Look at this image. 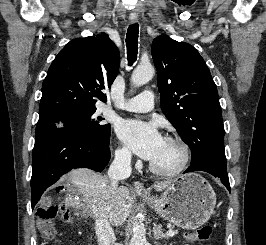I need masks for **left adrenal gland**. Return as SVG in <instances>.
<instances>
[{
  "label": "left adrenal gland",
  "mask_w": 266,
  "mask_h": 245,
  "mask_svg": "<svg viewBox=\"0 0 266 245\" xmlns=\"http://www.w3.org/2000/svg\"><path fill=\"white\" fill-rule=\"evenodd\" d=\"M153 237L154 239H168L167 235H165V233H163V229H162V225H156V227H154L153 229Z\"/></svg>",
  "instance_id": "obj_1"
}]
</instances>
